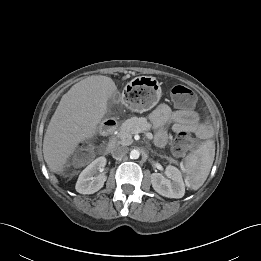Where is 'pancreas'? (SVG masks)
Listing matches in <instances>:
<instances>
[{"mask_svg": "<svg viewBox=\"0 0 261 261\" xmlns=\"http://www.w3.org/2000/svg\"><path fill=\"white\" fill-rule=\"evenodd\" d=\"M152 125L145 117H132L125 120L119 128L116 142L122 145H130L133 142L132 135L138 130L150 131Z\"/></svg>", "mask_w": 261, "mask_h": 261, "instance_id": "pancreas-1", "label": "pancreas"}]
</instances>
